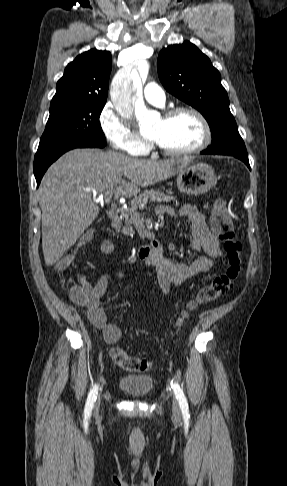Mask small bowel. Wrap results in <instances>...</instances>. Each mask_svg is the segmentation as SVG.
Masks as SVG:
<instances>
[{
    "label": "small bowel",
    "instance_id": "c3829d8e",
    "mask_svg": "<svg viewBox=\"0 0 287 486\" xmlns=\"http://www.w3.org/2000/svg\"><path fill=\"white\" fill-rule=\"evenodd\" d=\"M156 210L160 215L182 217L188 221L190 240L185 248L188 252L197 255L191 262L170 259L166 252L177 250L179 245L168 243L166 246L159 245L156 252L145 259L149 265L155 268L161 291L167 293L172 285H179L200 272L210 270L216 260L222 256V251L218 238L207 225L205 215L197 207L185 204L179 212L168 206H159ZM100 249L103 254L109 255L114 246L110 240L105 239L102 241ZM115 271L119 278L123 276V272L119 268H116ZM79 279L88 296L84 307L90 322L100 330L106 343H116L121 337V330L116 324L108 321L106 313L100 306V300L106 292L110 275H101L95 284H91L82 276Z\"/></svg>",
    "mask_w": 287,
    "mask_h": 486
}]
</instances>
